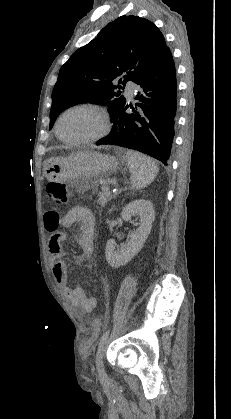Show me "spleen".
I'll use <instances>...</instances> for the list:
<instances>
[{"label":"spleen","instance_id":"1","mask_svg":"<svg viewBox=\"0 0 231 419\" xmlns=\"http://www.w3.org/2000/svg\"><path fill=\"white\" fill-rule=\"evenodd\" d=\"M126 161L131 173L132 188L142 189L153 182L158 173V166L152 158L133 150H127Z\"/></svg>","mask_w":231,"mask_h":419}]
</instances>
